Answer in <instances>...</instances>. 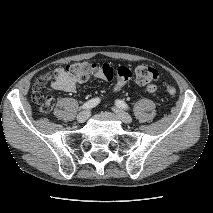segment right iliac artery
I'll return each instance as SVG.
<instances>
[{
	"mask_svg": "<svg viewBox=\"0 0 213 213\" xmlns=\"http://www.w3.org/2000/svg\"><path fill=\"white\" fill-rule=\"evenodd\" d=\"M99 102H100V98H93V99H91V100H89V101H87L86 103H84L82 106H81V108L82 109H91V108H93V107H95L96 105H98L99 104Z\"/></svg>",
	"mask_w": 213,
	"mask_h": 213,
	"instance_id": "obj_1",
	"label": "right iliac artery"
}]
</instances>
